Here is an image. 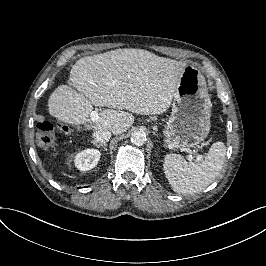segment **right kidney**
Returning a JSON list of instances; mask_svg holds the SVG:
<instances>
[{
  "label": "right kidney",
  "mask_w": 266,
  "mask_h": 266,
  "mask_svg": "<svg viewBox=\"0 0 266 266\" xmlns=\"http://www.w3.org/2000/svg\"><path fill=\"white\" fill-rule=\"evenodd\" d=\"M100 159V152L98 150L90 149L79 153L76 156V166L80 170L92 169L97 165Z\"/></svg>",
  "instance_id": "obj_1"
}]
</instances>
